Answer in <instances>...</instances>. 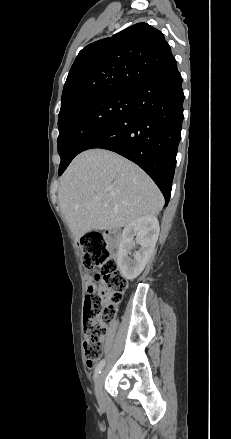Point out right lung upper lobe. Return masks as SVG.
Returning a JSON list of instances; mask_svg holds the SVG:
<instances>
[{"label":"right lung upper lobe","instance_id":"1","mask_svg":"<svg viewBox=\"0 0 231 439\" xmlns=\"http://www.w3.org/2000/svg\"><path fill=\"white\" fill-rule=\"evenodd\" d=\"M175 64L161 31L147 23L132 25L79 52L64 85L60 113L92 97L133 94Z\"/></svg>","mask_w":231,"mask_h":439}]
</instances>
